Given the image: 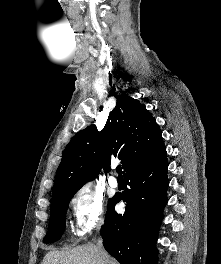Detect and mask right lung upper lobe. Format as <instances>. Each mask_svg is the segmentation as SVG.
Listing matches in <instances>:
<instances>
[{
    "label": "right lung upper lobe",
    "instance_id": "1",
    "mask_svg": "<svg viewBox=\"0 0 221 264\" xmlns=\"http://www.w3.org/2000/svg\"><path fill=\"white\" fill-rule=\"evenodd\" d=\"M165 152L161 130L138 100L128 95L117 103L100 132L90 125L66 146L57 169L52 200L76 193L95 179L101 168L108 171L111 158H119L123 173L147 165Z\"/></svg>",
    "mask_w": 221,
    "mask_h": 264
}]
</instances>
